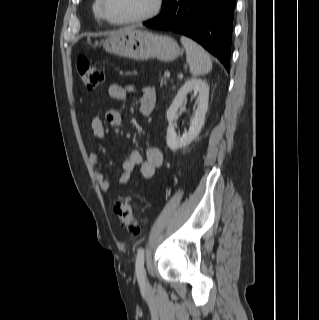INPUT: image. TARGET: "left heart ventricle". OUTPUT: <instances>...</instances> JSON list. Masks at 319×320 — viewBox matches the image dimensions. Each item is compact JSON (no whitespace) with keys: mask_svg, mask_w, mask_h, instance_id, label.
I'll list each match as a JSON object with an SVG mask.
<instances>
[{"mask_svg":"<svg viewBox=\"0 0 319 320\" xmlns=\"http://www.w3.org/2000/svg\"><path fill=\"white\" fill-rule=\"evenodd\" d=\"M155 0H106V11L113 20H124L148 13Z\"/></svg>","mask_w":319,"mask_h":320,"instance_id":"obj_1","label":"left heart ventricle"}]
</instances>
